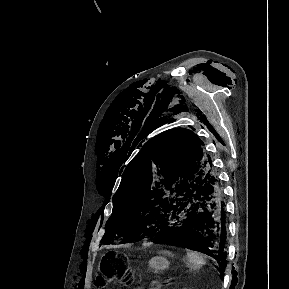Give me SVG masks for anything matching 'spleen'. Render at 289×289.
<instances>
[{
	"label": "spleen",
	"mask_w": 289,
	"mask_h": 289,
	"mask_svg": "<svg viewBox=\"0 0 289 289\" xmlns=\"http://www.w3.org/2000/svg\"><path fill=\"white\" fill-rule=\"evenodd\" d=\"M205 263L206 261L201 254L194 251H187L186 264L189 268L197 270Z\"/></svg>",
	"instance_id": "obj_1"
}]
</instances>
